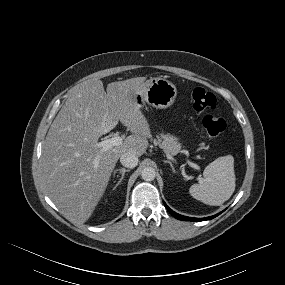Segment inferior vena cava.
Returning a JSON list of instances; mask_svg holds the SVG:
<instances>
[{
    "label": "inferior vena cava",
    "mask_w": 285,
    "mask_h": 285,
    "mask_svg": "<svg viewBox=\"0 0 285 285\" xmlns=\"http://www.w3.org/2000/svg\"><path fill=\"white\" fill-rule=\"evenodd\" d=\"M120 162L124 167L134 168L138 164V157L133 152H125L120 156Z\"/></svg>",
    "instance_id": "1"
}]
</instances>
